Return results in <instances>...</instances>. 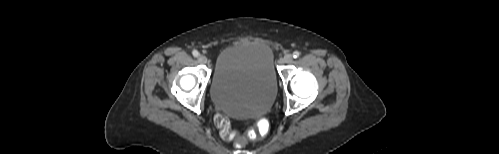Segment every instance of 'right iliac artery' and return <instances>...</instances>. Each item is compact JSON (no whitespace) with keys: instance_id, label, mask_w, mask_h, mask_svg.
Segmentation results:
<instances>
[{"instance_id":"1","label":"right iliac artery","mask_w":499,"mask_h":154,"mask_svg":"<svg viewBox=\"0 0 499 154\" xmlns=\"http://www.w3.org/2000/svg\"><path fill=\"white\" fill-rule=\"evenodd\" d=\"M192 54H193L194 57H198L199 56V52L197 50H193Z\"/></svg>"}]
</instances>
